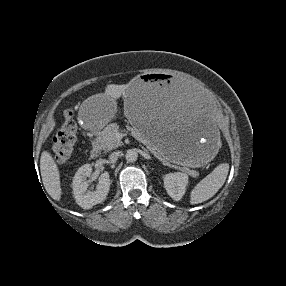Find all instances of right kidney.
Masks as SVG:
<instances>
[{
	"mask_svg": "<svg viewBox=\"0 0 286 286\" xmlns=\"http://www.w3.org/2000/svg\"><path fill=\"white\" fill-rule=\"evenodd\" d=\"M92 173V165L84 164L75 173L72 188L76 203L84 209H90L94 205L103 202L108 195L110 189L109 173L104 172L100 175L96 190L91 192L88 190L89 183L87 177Z\"/></svg>",
	"mask_w": 286,
	"mask_h": 286,
	"instance_id": "1",
	"label": "right kidney"
}]
</instances>
